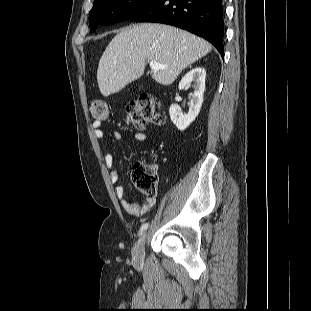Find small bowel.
<instances>
[{"mask_svg":"<svg viewBox=\"0 0 311 311\" xmlns=\"http://www.w3.org/2000/svg\"><path fill=\"white\" fill-rule=\"evenodd\" d=\"M94 136L101 140L104 138V132L101 129V123L98 121L92 124ZM115 140L119 141L122 139V134L119 131L114 132ZM133 138L137 142H144L147 139V135L144 132H136L133 134ZM104 164L109 170V179L112 183H117L119 180V173L116 168H114V158L111 153H106L104 155ZM115 194L120 200L123 209L130 215L135 217H142L148 213L154 206L156 199L155 197H147L142 203L129 202L125 198V189L122 185L117 184L115 186Z\"/></svg>","mask_w":311,"mask_h":311,"instance_id":"obj_1","label":"small bowel"}]
</instances>
